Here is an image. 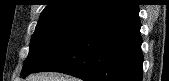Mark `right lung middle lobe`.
I'll return each instance as SVG.
<instances>
[{"label": "right lung middle lobe", "mask_w": 169, "mask_h": 81, "mask_svg": "<svg viewBox=\"0 0 169 81\" xmlns=\"http://www.w3.org/2000/svg\"><path fill=\"white\" fill-rule=\"evenodd\" d=\"M86 19L77 16H57L39 19L32 35L29 55L25 60L21 76H26L57 51Z\"/></svg>", "instance_id": "1"}]
</instances>
